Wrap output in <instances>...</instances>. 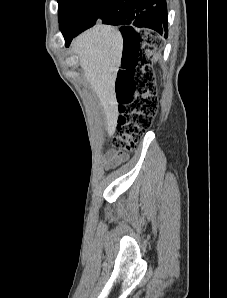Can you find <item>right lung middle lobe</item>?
<instances>
[{
	"label": "right lung middle lobe",
	"instance_id": "obj_1",
	"mask_svg": "<svg viewBox=\"0 0 227 298\" xmlns=\"http://www.w3.org/2000/svg\"><path fill=\"white\" fill-rule=\"evenodd\" d=\"M106 0H58L60 30L63 35L76 31Z\"/></svg>",
	"mask_w": 227,
	"mask_h": 298
}]
</instances>
